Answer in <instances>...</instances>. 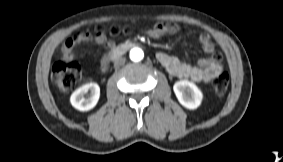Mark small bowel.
<instances>
[{
  "mask_svg": "<svg viewBox=\"0 0 283 162\" xmlns=\"http://www.w3.org/2000/svg\"><path fill=\"white\" fill-rule=\"evenodd\" d=\"M179 31V26L175 23H158L147 31V34L153 38H159L165 34H175ZM199 42L205 53L213 55L214 44L208 34L202 33L199 35ZM93 42L97 45H106L107 51L114 52L117 49V44L114 41H108L104 33L93 36L89 32L75 33L68 37L62 46V58L64 61L73 60V49L75 46L82 43ZM157 59L161 65L172 76L191 79L195 82L208 83L217 77L222 72V66L219 62L220 55L211 56L209 58H201L197 65H190L181 61L175 56H171L165 52H159ZM112 62L110 55H105L99 59L100 67L96 69L98 76H103L109 71V64Z\"/></svg>",
  "mask_w": 283,
  "mask_h": 162,
  "instance_id": "c3829d8e",
  "label": "small bowel"
}]
</instances>
